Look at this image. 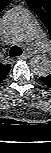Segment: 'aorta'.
<instances>
[{
	"label": "aorta",
	"instance_id": "obj_1",
	"mask_svg": "<svg viewBox=\"0 0 51 153\" xmlns=\"http://www.w3.org/2000/svg\"><path fill=\"white\" fill-rule=\"evenodd\" d=\"M4 31L13 40L30 42L37 38L40 29L37 21L23 8L9 10L4 18ZM34 75L46 77L51 73V60L45 55H35L30 60Z\"/></svg>",
	"mask_w": 51,
	"mask_h": 153
}]
</instances>
